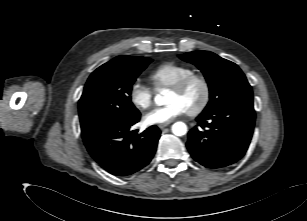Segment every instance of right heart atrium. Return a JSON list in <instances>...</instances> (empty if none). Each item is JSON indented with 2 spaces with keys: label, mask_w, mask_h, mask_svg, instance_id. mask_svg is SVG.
<instances>
[{
  "label": "right heart atrium",
  "mask_w": 307,
  "mask_h": 221,
  "mask_svg": "<svg viewBox=\"0 0 307 221\" xmlns=\"http://www.w3.org/2000/svg\"><path fill=\"white\" fill-rule=\"evenodd\" d=\"M129 98L136 108L144 110L152 104L153 90L142 82L135 81L130 86Z\"/></svg>",
  "instance_id": "obj_1"
}]
</instances>
